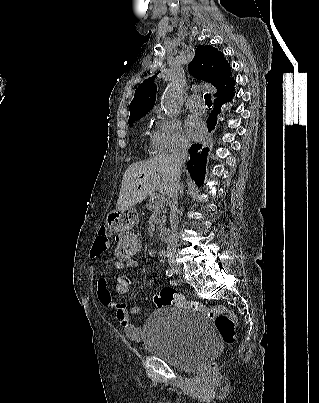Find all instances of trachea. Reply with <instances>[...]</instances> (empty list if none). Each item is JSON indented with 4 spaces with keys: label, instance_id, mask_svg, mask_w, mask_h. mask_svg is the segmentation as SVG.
<instances>
[{
    "label": "trachea",
    "instance_id": "trachea-1",
    "mask_svg": "<svg viewBox=\"0 0 319 403\" xmlns=\"http://www.w3.org/2000/svg\"><path fill=\"white\" fill-rule=\"evenodd\" d=\"M206 105H212L211 95L209 93L204 95Z\"/></svg>",
    "mask_w": 319,
    "mask_h": 403
}]
</instances>
